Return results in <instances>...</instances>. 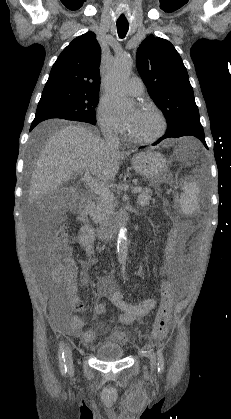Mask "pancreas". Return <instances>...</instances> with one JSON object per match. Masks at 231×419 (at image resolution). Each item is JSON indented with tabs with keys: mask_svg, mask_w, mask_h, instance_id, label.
Listing matches in <instances>:
<instances>
[{
	"mask_svg": "<svg viewBox=\"0 0 231 419\" xmlns=\"http://www.w3.org/2000/svg\"><path fill=\"white\" fill-rule=\"evenodd\" d=\"M151 199V191L148 188H143L138 195V203L141 207L149 205ZM154 202V200H153ZM114 199H105L97 197L95 202L89 207L88 213L95 224L107 223L115 214Z\"/></svg>",
	"mask_w": 231,
	"mask_h": 419,
	"instance_id": "obj_1",
	"label": "pancreas"
}]
</instances>
